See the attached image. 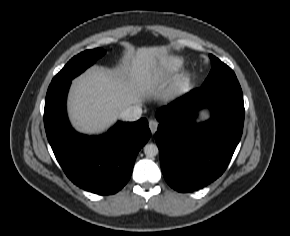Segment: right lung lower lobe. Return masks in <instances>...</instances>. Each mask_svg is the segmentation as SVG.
<instances>
[{"label":"right lung lower lobe","mask_w":290,"mask_h":236,"mask_svg":"<svg viewBox=\"0 0 290 236\" xmlns=\"http://www.w3.org/2000/svg\"><path fill=\"white\" fill-rule=\"evenodd\" d=\"M71 80L51 82L45 100L48 141L67 177L80 188L99 195L118 192L128 182L136 156L151 136L146 119L118 122L101 136L77 133L66 113Z\"/></svg>","instance_id":"98d812e1"}]
</instances>
